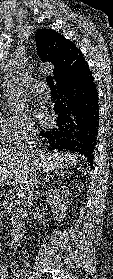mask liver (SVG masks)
Masks as SVG:
<instances>
[{
	"label": "liver",
	"mask_w": 113,
	"mask_h": 279,
	"mask_svg": "<svg viewBox=\"0 0 113 279\" xmlns=\"http://www.w3.org/2000/svg\"><path fill=\"white\" fill-rule=\"evenodd\" d=\"M80 162L79 156L69 153L24 154L16 147L0 149V187L16 184L27 186L30 175L42 176L57 169H66Z\"/></svg>",
	"instance_id": "obj_1"
}]
</instances>
